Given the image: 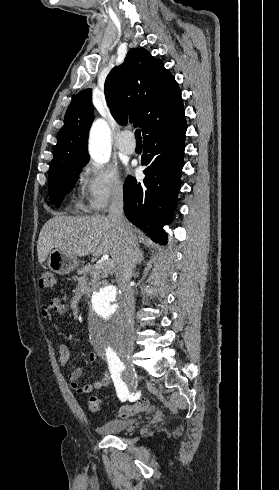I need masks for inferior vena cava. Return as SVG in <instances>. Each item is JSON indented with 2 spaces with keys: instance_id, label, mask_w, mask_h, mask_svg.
I'll use <instances>...</instances> for the list:
<instances>
[{
  "instance_id": "obj_1",
  "label": "inferior vena cava",
  "mask_w": 279,
  "mask_h": 490,
  "mask_svg": "<svg viewBox=\"0 0 279 490\" xmlns=\"http://www.w3.org/2000/svg\"><path fill=\"white\" fill-rule=\"evenodd\" d=\"M123 190H115L111 196V202L109 206V214L107 216L108 220H111L113 226H116L122 234L125 236L124 242V250L122 256V260L117 262L115 266H117L115 270V282L118 284L119 290L122 292V296L124 298V304L126 308V312H128V324H130V328H134L135 318V298L134 292L130 286L131 276L136 268V264H138L139 258V248L137 238H134L131 232H127L124 228L129 226L128 220L124 218L123 212Z\"/></svg>"
}]
</instances>
